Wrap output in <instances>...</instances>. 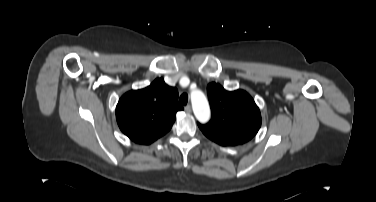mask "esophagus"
<instances>
[{
  "mask_svg": "<svg viewBox=\"0 0 376 202\" xmlns=\"http://www.w3.org/2000/svg\"><path fill=\"white\" fill-rule=\"evenodd\" d=\"M191 111H192L191 106H190V105H187V106L185 107V112H186V113H191Z\"/></svg>",
  "mask_w": 376,
  "mask_h": 202,
  "instance_id": "34e87169",
  "label": "esophagus"
}]
</instances>
